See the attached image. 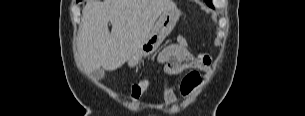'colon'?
Listing matches in <instances>:
<instances>
[{"label":"colon","instance_id":"obj_1","mask_svg":"<svg viewBox=\"0 0 305 116\" xmlns=\"http://www.w3.org/2000/svg\"><path fill=\"white\" fill-rule=\"evenodd\" d=\"M178 42L185 43L186 39L183 36L178 38ZM197 77L196 72H189L187 74V78L195 79ZM150 86V81L148 79H141L139 81L134 82L129 91V98L132 103H138L143 96L145 95L146 91Z\"/></svg>","mask_w":305,"mask_h":116}]
</instances>
